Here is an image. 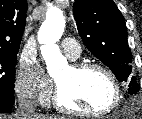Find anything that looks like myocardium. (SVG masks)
Listing matches in <instances>:
<instances>
[{"instance_id":"myocardium-1","label":"myocardium","mask_w":142,"mask_h":119,"mask_svg":"<svg viewBox=\"0 0 142 119\" xmlns=\"http://www.w3.org/2000/svg\"><path fill=\"white\" fill-rule=\"evenodd\" d=\"M70 67L73 70V72H75L76 74L83 73L89 70H97L103 73L111 83V86L113 89V98L110 104L103 110H100L97 112L82 111V110L70 107L62 101L60 87L57 84L55 93H54V99H53V103L56 108H58L59 110L65 113L82 116V117H102V116L110 114L112 111H114L118 107L121 101L120 85L115 75L106 66L97 62L83 61V62L73 63Z\"/></svg>"}]
</instances>
